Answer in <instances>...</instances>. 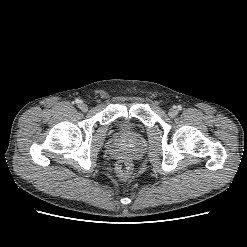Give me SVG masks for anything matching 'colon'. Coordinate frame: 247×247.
<instances>
[{
	"mask_svg": "<svg viewBox=\"0 0 247 247\" xmlns=\"http://www.w3.org/2000/svg\"><path fill=\"white\" fill-rule=\"evenodd\" d=\"M116 172L121 179H128L132 174V164L128 160H120L116 164Z\"/></svg>",
	"mask_w": 247,
	"mask_h": 247,
	"instance_id": "colon-1",
	"label": "colon"
}]
</instances>
